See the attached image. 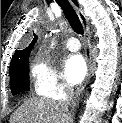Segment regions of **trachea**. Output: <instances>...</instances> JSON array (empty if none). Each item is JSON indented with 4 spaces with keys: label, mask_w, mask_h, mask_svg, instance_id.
I'll use <instances>...</instances> for the list:
<instances>
[{
    "label": "trachea",
    "mask_w": 122,
    "mask_h": 123,
    "mask_svg": "<svg viewBox=\"0 0 122 123\" xmlns=\"http://www.w3.org/2000/svg\"><path fill=\"white\" fill-rule=\"evenodd\" d=\"M58 5L63 10L70 26L76 32L77 34L83 35L84 29L82 26V23L80 22V19L78 15L76 14L75 10L71 6L68 0H56Z\"/></svg>",
    "instance_id": "1"
}]
</instances>
